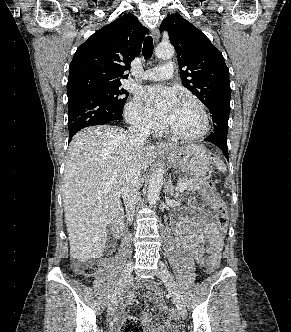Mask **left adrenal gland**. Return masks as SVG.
Wrapping results in <instances>:
<instances>
[{
	"label": "left adrenal gland",
	"mask_w": 291,
	"mask_h": 332,
	"mask_svg": "<svg viewBox=\"0 0 291 332\" xmlns=\"http://www.w3.org/2000/svg\"><path fill=\"white\" fill-rule=\"evenodd\" d=\"M164 189H165V192L167 194H169L170 196L174 195L173 194L174 193V187L172 185L171 176H169L168 181L166 182Z\"/></svg>",
	"instance_id": "a2214340"
}]
</instances>
